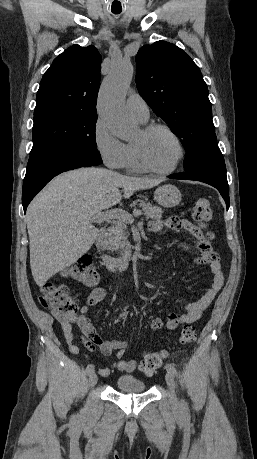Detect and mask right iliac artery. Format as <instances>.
<instances>
[{
	"label": "right iliac artery",
	"mask_w": 257,
	"mask_h": 459,
	"mask_svg": "<svg viewBox=\"0 0 257 459\" xmlns=\"http://www.w3.org/2000/svg\"><path fill=\"white\" fill-rule=\"evenodd\" d=\"M93 372H94V365L89 364V365L86 367V373H87L88 375H90V374L93 373Z\"/></svg>",
	"instance_id": "obj_1"
}]
</instances>
